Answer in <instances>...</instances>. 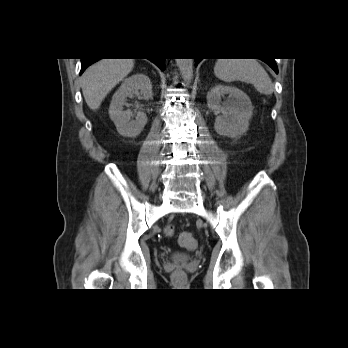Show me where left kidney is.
<instances>
[{
    "mask_svg": "<svg viewBox=\"0 0 348 348\" xmlns=\"http://www.w3.org/2000/svg\"><path fill=\"white\" fill-rule=\"evenodd\" d=\"M228 99L222 103V98ZM209 109L219 114L215 119V131L222 136L239 138L248 130L252 117V103L246 93L237 87L216 85L207 94Z\"/></svg>",
    "mask_w": 348,
    "mask_h": 348,
    "instance_id": "5707ae66",
    "label": "left kidney"
}]
</instances>
